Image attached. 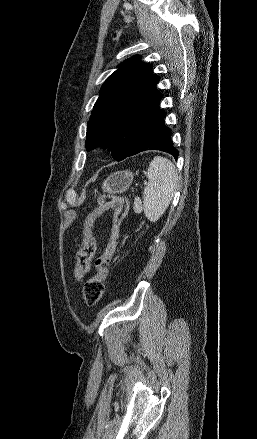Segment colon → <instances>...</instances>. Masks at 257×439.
<instances>
[{
	"label": "colon",
	"mask_w": 257,
	"mask_h": 439,
	"mask_svg": "<svg viewBox=\"0 0 257 439\" xmlns=\"http://www.w3.org/2000/svg\"><path fill=\"white\" fill-rule=\"evenodd\" d=\"M109 209L114 210L110 238L106 248L95 261V274L86 281L83 288V298L89 306L96 305L105 291L108 265L117 247L121 225L129 211L128 200L125 197L102 195L98 198L96 207L88 213L84 221L82 246L76 255L74 276L80 281L88 273L96 252V240L93 235L94 223Z\"/></svg>",
	"instance_id": "obj_1"
}]
</instances>
